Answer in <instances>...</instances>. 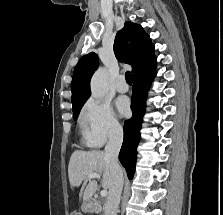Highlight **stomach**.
<instances>
[{"mask_svg":"<svg viewBox=\"0 0 223 215\" xmlns=\"http://www.w3.org/2000/svg\"><path fill=\"white\" fill-rule=\"evenodd\" d=\"M93 203L91 202H84L82 203V211H92Z\"/></svg>","mask_w":223,"mask_h":215,"instance_id":"obj_1","label":"stomach"}]
</instances>
